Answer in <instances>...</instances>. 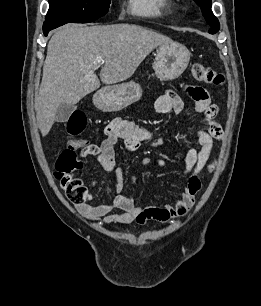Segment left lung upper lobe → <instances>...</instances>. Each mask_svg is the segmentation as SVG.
I'll return each instance as SVG.
<instances>
[{
  "label": "left lung upper lobe",
  "mask_w": 261,
  "mask_h": 306,
  "mask_svg": "<svg viewBox=\"0 0 261 306\" xmlns=\"http://www.w3.org/2000/svg\"><path fill=\"white\" fill-rule=\"evenodd\" d=\"M202 10V14L205 17L207 23L211 26L209 29L210 34H215L220 29L218 19L213 15L211 10V0H194Z\"/></svg>",
  "instance_id": "left-lung-upper-lobe-1"
}]
</instances>
